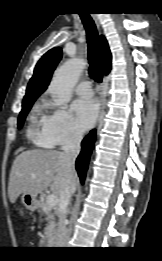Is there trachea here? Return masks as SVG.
Segmentation results:
<instances>
[{"instance_id":"obj_1","label":"trachea","mask_w":162,"mask_h":261,"mask_svg":"<svg viewBox=\"0 0 162 261\" xmlns=\"http://www.w3.org/2000/svg\"><path fill=\"white\" fill-rule=\"evenodd\" d=\"M87 33L89 74L96 82L102 81V64L98 42V32L95 23L88 13H80Z\"/></svg>"}]
</instances>
